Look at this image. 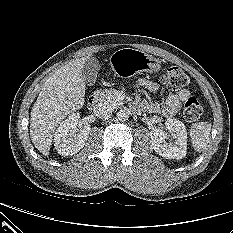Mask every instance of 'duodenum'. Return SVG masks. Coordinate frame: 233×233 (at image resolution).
<instances>
[{
    "label": "duodenum",
    "mask_w": 233,
    "mask_h": 233,
    "mask_svg": "<svg viewBox=\"0 0 233 233\" xmlns=\"http://www.w3.org/2000/svg\"><path fill=\"white\" fill-rule=\"evenodd\" d=\"M99 103V98L97 95H92L89 99H88V108L89 109H94L97 107Z\"/></svg>",
    "instance_id": "1"
}]
</instances>
